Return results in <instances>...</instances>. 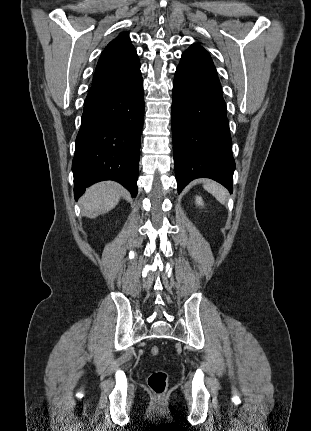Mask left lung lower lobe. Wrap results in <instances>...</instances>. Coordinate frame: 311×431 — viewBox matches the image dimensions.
<instances>
[{"label": "left lung lower lobe", "mask_w": 311, "mask_h": 431, "mask_svg": "<svg viewBox=\"0 0 311 431\" xmlns=\"http://www.w3.org/2000/svg\"><path fill=\"white\" fill-rule=\"evenodd\" d=\"M172 134L178 193L193 179L206 177L232 193L235 161L226 103L210 55L188 49L173 82Z\"/></svg>", "instance_id": "1"}]
</instances>
